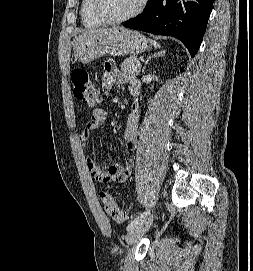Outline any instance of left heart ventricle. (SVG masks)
Segmentation results:
<instances>
[{
  "mask_svg": "<svg viewBox=\"0 0 253 271\" xmlns=\"http://www.w3.org/2000/svg\"><path fill=\"white\" fill-rule=\"evenodd\" d=\"M104 12L111 18L123 17L132 12L140 0H102Z\"/></svg>",
  "mask_w": 253,
  "mask_h": 271,
  "instance_id": "left-heart-ventricle-1",
  "label": "left heart ventricle"
}]
</instances>
